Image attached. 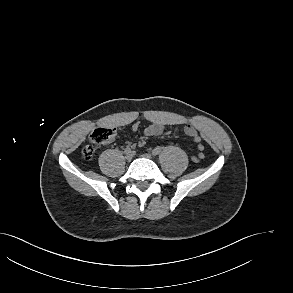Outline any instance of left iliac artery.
Masks as SVG:
<instances>
[{"instance_id":"left-iliac-artery-1","label":"left iliac artery","mask_w":293,"mask_h":293,"mask_svg":"<svg viewBox=\"0 0 293 293\" xmlns=\"http://www.w3.org/2000/svg\"><path fill=\"white\" fill-rule=\"evenodd\" d=\"M161 152V148L158 146L155 149H153L152 154L153 155H158Z\"/></svg>"}]
</instances>
